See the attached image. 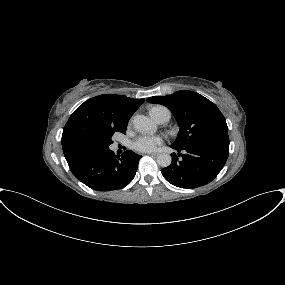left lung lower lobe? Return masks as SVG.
<instances>
[{"mask_svg": "<svg viewBox=\"0 0 285 285\" xmlns=\"http://www.w3.org/2000/svg\"><path fill=\"white\" fill-rule=\"evenodd\" d=\"M177 150L182 159L178 161L176 154L170 166L163 168V177L172 185L192 189L208 184L219 174L224 167L229 147L213 143L192 145L183 149L172 147ZM183 151L185 154H181Z\"/></svg>", "mask_w": 285, "mask_h": 285, "instance_id": "obj_1", "label": "left lung lower lobe"}]
</instances>
